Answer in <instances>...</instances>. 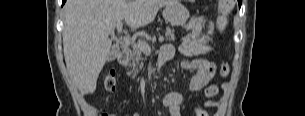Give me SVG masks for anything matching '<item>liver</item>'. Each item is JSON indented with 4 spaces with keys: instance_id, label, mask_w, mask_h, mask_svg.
Instances as JSON below:
<instances>
[{
    "instance_id": "1",
    "label": "liver",
    "mask_w": 305,
    "mask_h": 116,
    "mask_svg": "<svg viewBox=\"0 0 305 116\" xmlns=\"http://www.w3.org/2000/svg\"><path fill=\"white\" fill-rule=\"evenodd\" d=\"M174 0H67L63 48L67 71L77 87L96 90L110 53L108 36L118 22L137 30L154 21L158 10Z\"/></svg>"
}]
</instances>
